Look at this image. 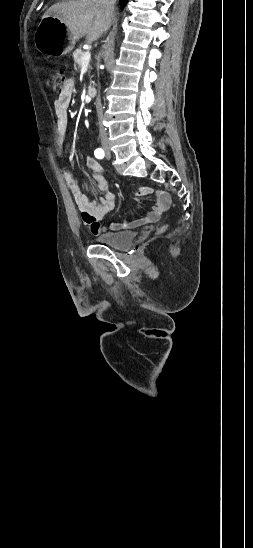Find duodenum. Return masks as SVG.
<instances>
[{"mask_svg":"<svg viewBox=\"0 0 253 548\" xmlns=\"http://www.w3.org/2000/svg\"><path fill=\"white\" fill-rule=\"evenodd\" d=\"M96 93H97V91H96V88H95V87H89V88L87 89V96H88L89 98H94V97L96 96Z\"/></svg>","mask_w":253,"mask_h":548,"instance_id":"duodenum-1","label":"duodenum"}]
</instances>
